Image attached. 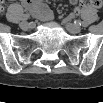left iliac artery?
Masks as SVG:
<instances>
[{"label":"left iliac artery","instance_id":"44dca946","mask_svg":"<svg viewBox=\"0 0 103 103\" xmlns=\"http://www.w3.org/2000/svg\"><path fill=\"white\" fill-rule=\"evenodd\" d=\"M79 24L82 25L83 27H87L89 25V23L87 21H82Z\"/></svg>","mask_w":103,"mask_h":103}]
</instances>
